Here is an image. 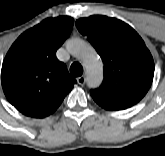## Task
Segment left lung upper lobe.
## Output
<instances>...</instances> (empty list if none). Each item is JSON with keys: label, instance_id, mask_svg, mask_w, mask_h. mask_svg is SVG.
Here are the masks:
<instances>
[{"label": "left lung upper lobe", "instance_id": "obj_1", "mask_svg": "<svg viewBox=\"0 0 165 156\" xmlns=\"http://www.w3.org/2000/svg\"><path fill=\"white\" fill-rule=\"evenodd\" d=\"M76 27L104 63L103 83L91 90L95 102L113 111L137 104L154 75L153 58L142 38L128 24L102 15L80 18Z\"/></svg>", "mask_w": 165, "mask_h": 156}]
</instances>
